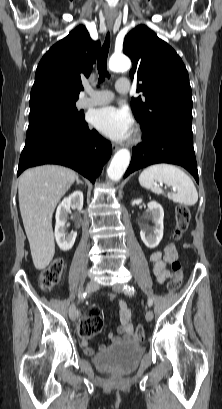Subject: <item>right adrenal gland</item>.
<instances>
[{
	"instance_id": "obj_1",
	"label": "right adrenal gland",
	"mask_w": 222,
	"mask_h": 409,
	"mask_svg": "<svg viewBox=\"0 0 222 409\" xmlns=\"http://www.w3.org/2000/svg\"><path fill=\"white\" fill-rule=\"evenodd\" d=\"M76 183H77V184H83V182H82L81 180H79L78 177L76 178Z\"/></svg>"
}]
</instances>
